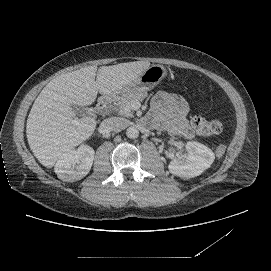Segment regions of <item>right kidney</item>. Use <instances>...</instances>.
I'll use <instances>...</instances> for the list:
<instances>
[{
	"label": "right kidney",
	"mask_w": 271,
	"mask_h": 271,
	"mask_svg": "<svg viewBox=\"0 0 271 271\" xmlns=\"http://www.w3.org/2000/svg\"><path fill=\"white\" fill-rule=\"evenodd\" d=\"M94 150L89 145L66 150L54 165V172L62 181H78L90 171Z\"/></svg>",
	"instance_id": "1"
}]
</instances>
